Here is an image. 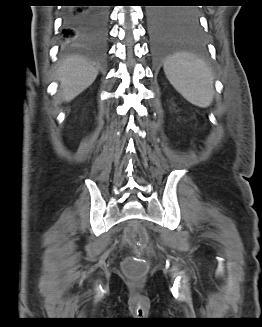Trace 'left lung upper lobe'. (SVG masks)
Here are the masks:
<instances>
[{
  "label": "left lung upper lobe",
  "mask_w": 262,
  "mask_h": 327,
  "mask_svg": "<svg viewBox=\"0 0 262 327\" xmlns=\"http://www.w3.org/2000/svg\"><path fill=\"white\" fill-rule=\"evenodd\" d=\"M188 14H189L190 16H192L193 18H198L197 11H195V10H193V9H190V10L188 11Z\"/></svg>",
  "instance_id": "left-lung-upper-lobe-1"
}]
</instances>
